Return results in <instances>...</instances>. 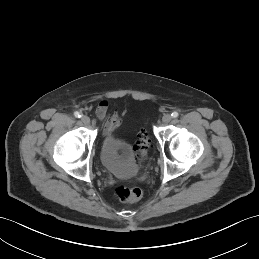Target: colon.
<instances>
[{
  "mask_svg": "<svg viewBox=\"0 0 259 259\" xmlns=\"http://www.w3.org/2000/svg\"><path fill=\"white\" fill-rule=\"evenodd\" d=\"M150 147V137L147 131H143L138 136L135 143V150L137 155V160L139 162L144 161L147 156L148 149ZM143 195L142 190L139 187H127V186H117L115 188V196L121 202L132 203L141 199Z\"/></svg>",
  "mask_w": 259,
  "mask_h": 259,
  "instance_id": "colon-1",
  "label": "colon"
}]
</instances>
